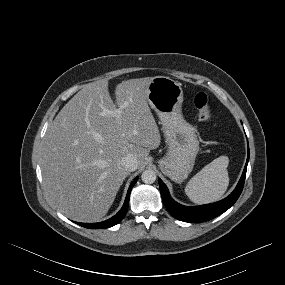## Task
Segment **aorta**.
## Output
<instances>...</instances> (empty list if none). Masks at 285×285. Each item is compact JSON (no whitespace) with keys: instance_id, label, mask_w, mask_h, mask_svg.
I'll list each match as a JSON object with an SVG mask.
<instances>
[{"instance_id":"aorta-1","label":"aorta","mask_w":285,"mask_h":285,"mask_svg":"<svg viewBox=\"0 0 285 285\" xmlns=\"http://www.w3.org/2000/svg\"><path fill=\"white\" fill-rule=\"evenodd\" d=\"M141 179L146 184H152L156 181V173L153 170H145L141 175Z\"/></svg>"}]
</instances>
